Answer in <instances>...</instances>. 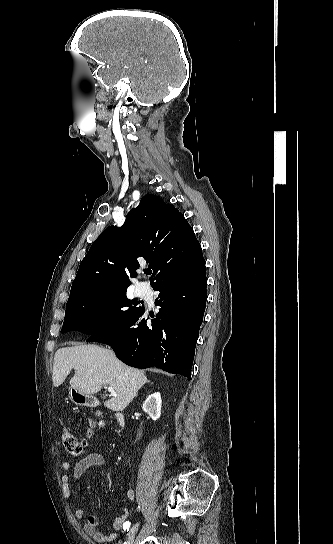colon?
<instances>
[{"label": "colon", "instance_id": "obj_1", "mask_svg": "<svg viewBox=\"0 0 333 544\" xmlns=\"http://www.w3.org/2000/svg\"><path fill=\"white\" fill-rule=\"evenodd\" d=\"M87 422H88V425H87L86 437L82 439L77 438L68 430L63 429L62 444L64 449L69 454H72V455L82 454L86 447L87 437L90 435L91 429L95 427L96 425H103L105 423V421L99 415L88 418Z\"/></svg>", "mask_w": 333, "mask_h": 544}]
</instances>
